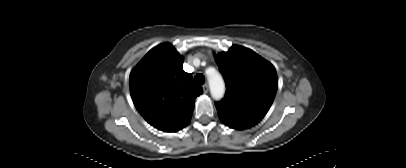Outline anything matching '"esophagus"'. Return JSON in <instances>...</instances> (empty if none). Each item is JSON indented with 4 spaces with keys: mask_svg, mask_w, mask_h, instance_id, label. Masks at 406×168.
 Masks as SVG:
<instances>
[{
    "mask_svg": "<svg viewBox=\"0 0 406 168\" xmlns=\"http://www.w3.org/2000/svg\"><path fill=\"white\" fill-rule=\"evenodd\" d=\"M208 90H209V86L206 83V84L203 85V91H204V93H208Z\"/></svg>",
    "mask_w": 406,
    "mask_h": 168,
    "instance_id": "34e87169",
    "label": "esophagus"
}]
</instances>
